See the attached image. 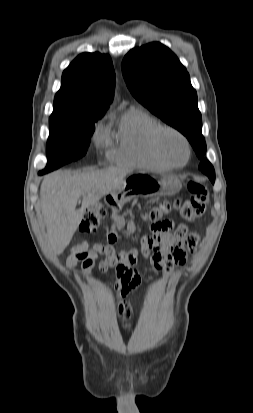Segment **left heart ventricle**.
I'll use <instances>...</instances> for the list:
<instances>
[{"label": "left heart ventricle", "instance_id": "obj_1", "mask_svg": "<svg viewBox=\"0 0 253 413\" xmlns=\"http://www.w3.org/2000/svg\"><path fill=\"white\" fill-rule=\"evenodd\" d=\"M163 148L168 157L175 163H183L187 152L183 142L173 134H165L162 139Z\"/></svg>", "mask_w": 253, "mask_h": 413}]
</instances>
